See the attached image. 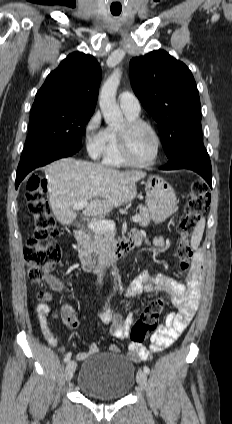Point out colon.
I'll return each mask as SVG.
<instances>
[{
    "instance_id": "obj_1",
    "label": "colon",
    "mask_w": 232,
    "mask_h": 424,
    "mask_svg": "<svg viewBox=\"0 0 232 424\" xmlns=\"http://www.w3.org/2000/svg\"><path fill=\"white\" fill-rule=\"evenodd\" d=\"M45 180L39 175H32L26 184L25 196L28 209L34 222V234L29 238L23 250V257L28 267L30 281L37 286H42L48 280V275L54 270L58 259L59 249L54 240L59 236V229L52 217L51 210L45 193ZM209 196L205 185L200 181L192 183L189 202L183 217L178 225L180 234L177 257L182 270L190 267L193 249L190 236L197 223L209 206ZM170 295H159L150 301L142 311L138 320L130 331L132 343L142 345L157 327L159 317L164 310ZM39 300L47 302L51 296L46 291H41Z\"/></svg>"
}]
</instances>
